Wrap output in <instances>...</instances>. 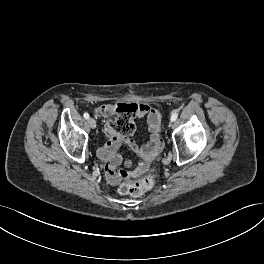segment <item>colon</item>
Wrapping results in <instances>:
<instances>
[{
    "instance_id": "colon-1",
    "label": "colon",
    "mask_w": 264,
    "mask_h": 264,
    "mask_svg": "<svg viewBox=\"0 0 264 264\" xmlns=\"http://www.w3.org/2000/svg\"><path fill=\"white\" fill-rule=\"evenodd\" d=\"M99 113L106 118L109 127L116 134L128 135L135 130L134 118L137 113V106L134 103L107 105L102 107ZM123 175L126 173L124 172ZM153 185V177L147 175L122 183L119 192L125 195L140 196L150 190Z\"/></svg>"
}]
</instances>
